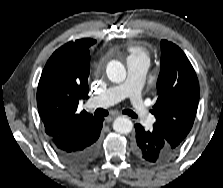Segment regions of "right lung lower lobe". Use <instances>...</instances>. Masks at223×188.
Segmentation results:
<instances>
[{"mask_svg":"<svg viewBox=\"0 0 223 188\" xmlns=\"http://www.w3.org/2000/svg\"><path fill=\"white\" fill-rule=\"evenodd\" d=\"M104 118L96 120L82 130L50 137L51 146L57 155L73 166L91 163L99 153L100 131Z\"/></svg>","mask_w":223,"mask_h":188,"instance_id":"right-lung-lower-lobe-1","label":"right lung lower lobe"}]
</instances>
